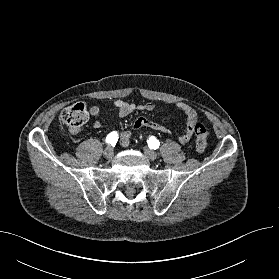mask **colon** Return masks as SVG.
Segmentation results:
<instances>
[{"label":"colon","instance_id":"1","mask_svg":"<svg viewBox=\"0 0 279 279\" xmlns=\"http://www.w3.org/2000/svg\"><path fill=\"white\" fill-rule=\"evenodd\" d=\"M89 114L87 107L83 103H76L65 108L59 117L60 123L67 127L71 132H77L88 120ZM195 146L198 151H204L207 147L208 128L197 123L194 128Z\"/></svg>","mask_w":279,"mask_h":279}]
</instances>
